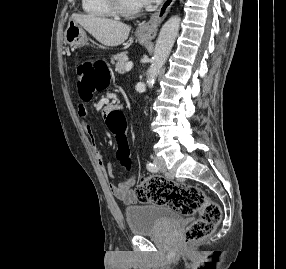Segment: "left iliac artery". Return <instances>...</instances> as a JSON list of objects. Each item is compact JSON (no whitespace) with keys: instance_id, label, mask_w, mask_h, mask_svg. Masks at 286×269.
I'll return each instance as SVG.
<instances>
[{"instance_id":"obj_1","label":"left iliac artery","mask_w":286,"mask_h":269,"mask_svg":"<svg viewBox=\"0 0 286 269\" xmlns=\"http://www.w3.org/2000/svg\"><path fill=\"white\" fill-rule=\"evenodd\" d=\"M146 167L151 172H157L158 171V167L156 166V164H153L151 162H147Z\"/></svg>"}]
</instances>
